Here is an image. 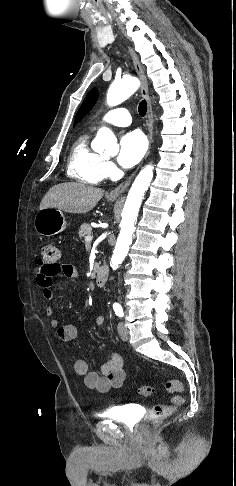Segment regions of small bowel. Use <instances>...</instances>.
Segmentation results:
<instances>
[{
    "label": "small bowel",
    "instance_id": "1",
    "mask_svg": "<svg viewBox=\"0 0 236 486\" xmlns=\"http://www.w3.org/2000/svg\"><path fill=\"white\" fill-rule=\"evenodd\" d=\"M59 274L71 279L78 278L75 267L70 264H58L52 270H47L39 262L36 270V282L42 289L43 297L48 301L54 298L52 290L53 278ZM45 315L51 318V326L55 329L56 336L60 341L69 342L77 337L78 327L73 324L60 325L59 321L54 318L52 307H46ZM94 322L95 325L101 326L104 324L105 318L104 316H97ZM74 370L78 375L83 376L84 384L87 388L101 393L120 387L125 379L123 358L118 353H113L109 361L102 366L101 374L89 371L88 365L84 360H76L74 362Z\"/></svg>",
    "mask_w": 236,
    "mask_h": 486
}]
</instances>
